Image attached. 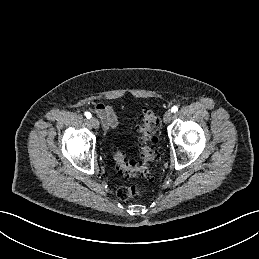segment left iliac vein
<instances>
[{
    "instance_id": "obj_1",
    "label": "left iliac vein",
    "mask_w": 259,
    "mask_h": 259,
    "mask_svg": "<svg viewBox=\"0 0 259 259\" xmlns=\"http://www.w3.org/2000/svg\"><path fill=\"white\" fill-rule=\"evenodd\" d=\"M171 119H172V112L168 110L165 112V114L163 116V121L165 123H169L171 121Z\"/></svg>"
}]
</instances>
